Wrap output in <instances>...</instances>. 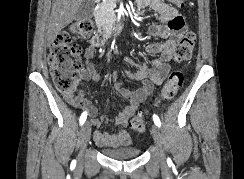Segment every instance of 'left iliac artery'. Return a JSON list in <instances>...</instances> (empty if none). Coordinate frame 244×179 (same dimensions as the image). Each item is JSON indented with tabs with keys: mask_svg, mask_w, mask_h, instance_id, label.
<instances>
[{
	"mask_svg": "<svg viewBox=\"0 0 244 179\" xmlns=\"http://www.w3.org/2000/svg\"><path fill=\"white\" fill-rule=\"evenodd\" d=\"M153 120H154V123L158 126V127H160L161 126V122H160V119H159V117L157 116V115H153Z\"/></svg>",
	"mask_w": 244,
	"mask_h": 179,
	"instance_id": "obj_1",
	"label": "left iliac artery"
}]
</instances>
